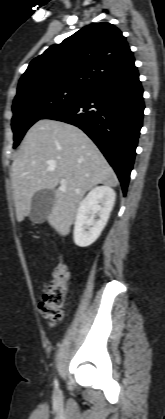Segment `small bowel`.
<instances>
[{"label":"small bowel","mask_w":165,"mask_h":419,"mask_svg":"<svg viewBox=\"0 0 165 419\" xmlns=\"http://www.w3.org/2000/svg\"><path fill=\"white\" fill-rule=\"evenodd\" d=\"M47 289H48V284L46 283V282H44L43 283V289H42V292L44 293V292H46L47 291Z\"/></svg>","instance_id":"obj_1"}]
</instances>
